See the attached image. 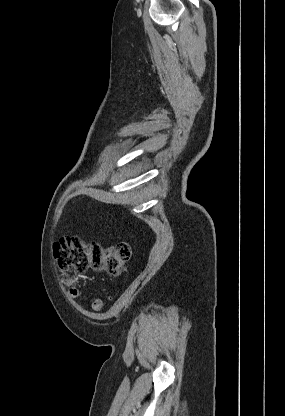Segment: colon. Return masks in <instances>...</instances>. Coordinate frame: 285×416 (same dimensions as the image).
I'll return each instance as SVG.
<instances>
[{"instance_id": "1", "label": "colon", "mask_w": 285, "mask_h": 416, "mask_svg": "<svg viewBox=\"0 0 285 416\" xmlns=\"http://www.w3.org/2000/svg\"><path fill=\"white\" fill-rule=\"evenodd\" d=\"M54 256L64 273L65 281L74 286L72 275L84 274L89 269L119 277L125 272L131 250L127 243L106 246L98 240L72 236L55 243Z\"/></svg>"}]
</instances>
